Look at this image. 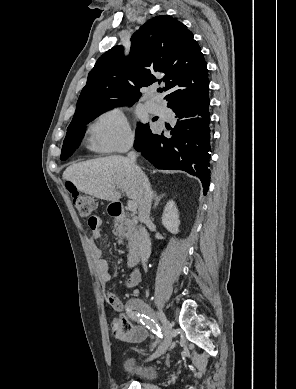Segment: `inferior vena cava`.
<instances>
[{
    "mask_svg": "<svg viewBox=\"0 0 296 389\" xmlns=\"http://www.w3.org/2000/svg\"><path fill=\"white\" fill-rule=\"evenodd\" d=\"M129 161L133 166L136 162V153L134 151H131L129 154ZM137 175L140 179V188H141V199L139 202V208H138V219L141 223H145L149 220L150 217V211H151V204L153 199V193L150 187V183L145 176V174L141 171V169L136 168ZM140 234L142 237V242L146 248L145 253L143 255V259L146 260L149 256V246H150V238L146 231V229L143 227L140 230Z\"/></svg>",
    "mask_w": 296,
    "mask_h": 389,
    "instance_id": "602c4592",
    "label": "inferior vena cava"
}]
</instances>
